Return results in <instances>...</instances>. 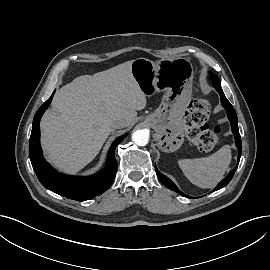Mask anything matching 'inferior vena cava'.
I'll return each mask as SVG.
<instances>
[{
    "label": "inferior vena cava",
    "instance_id": "1",
    "mask_svg": "<svg viewBox=\"0 0 270 270\" xmlns=\"http://www.w3.org/2000/svg\"><path fill=\"white\" fill-rule=\"evenodd\" d=\"M124 127H125V121H123V120H115L112 123L113 129H120V128H124Z\"/></svg>",
    "mask_w": 270,
    "mask_h": 270
}]
</instances>
